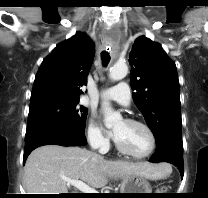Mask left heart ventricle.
<instances>
[{"mask_svg":"<svg viewBox=\"0 0 208 198\" xmlns=\"http://www.w3.org/2000/svg\"><path fill=\"white\" fill-rule=\"evenodd\" d=\"M116 140L135 154H144L150 148L148 133L140 126L122 120L116 123Z\"/></svg>","mask_w":208,"mask_h":198,"instance_id":"1","label":"left heart ventricle"}]
</instances>
